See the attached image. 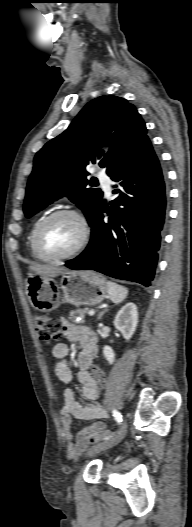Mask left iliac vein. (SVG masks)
<instances>
[{"mask_svg":"<svg viewBox=\"0 0 192 527\" xmlns=\"http://www.w3.org/2000/svg\"><path fill=\"white\" fill-rule=\"evenodd\" d=\"M126 433H127V423L124 421L122 425L120 426L117 434L112 439L96 444L91 449H89V451L87 452V455L91 456V455L97 454L103 450H106L110 447L117 445L120 441H122Z\"/></svg>","mask_w":192,"mask_h":527,"instance_id":"1","label":"left iliac vein"}]
</instances>
